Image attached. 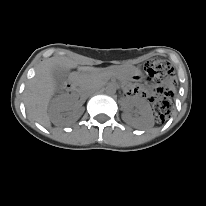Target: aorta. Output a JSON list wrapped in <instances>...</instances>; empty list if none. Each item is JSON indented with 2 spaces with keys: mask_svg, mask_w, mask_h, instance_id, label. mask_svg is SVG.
<instances>
[{
  "mask_svg": "<svg viewBox=\"0 0 206 206\" xmlns=\"http://www.w3.org/2000/svg\"><path fill=\"white\" fill-rule=\"evenodd\" d=\"M106 92L110 95H113L116 93V87L114 85H108L106 87Z\"/></svg>",
  "mask_w": 206,
  "mask_h": 206,
  "instance_id": "obj_1",
  "label": "aorta"
}]
</instances>
